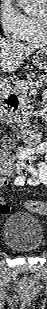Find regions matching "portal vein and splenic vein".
Here are the masks:
<instances>
[{
    "label": "portal vein and splenic vein",
    "instance_id": "1",
    "mask_svg": "<svg viewBox=\"0 0 47 309\" xmlns=\"http://www.w3.org/2000/svg\"><path fill=\"white\" fill-rule=\"evenodd\" d=\"M32 85H34L36 87H40L42 84L40 82H38V81L37 82H31V83H25V82H18L17 83L18 87H24V88H28V89Z\"/></svg>",
    "mask_w": 47,
    "mask_h": 309
}]
</instances>
